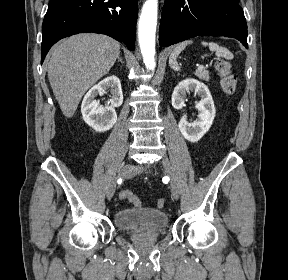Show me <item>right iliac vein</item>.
Wrapping results in <instances>:
<instances>
[{
    "mask_svg": "<svg viewBox=\"0 0 288 280\" xmlns=\"http://www.w3.org/2000/svg\"><path fill=\"white\" fill-rule=\"evenodd\" d=\"M131 168L130 165H125L118 173V178L125 177ZM116 190V180H114L107 188L106 196L108 199L112 198Z\"/></svg>",
    "mask_w": 288,
    "mask_h": 280,
    "instance_id": "obj_1",
    "label": "right iliac vein"
}]
</instances>
